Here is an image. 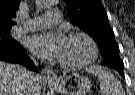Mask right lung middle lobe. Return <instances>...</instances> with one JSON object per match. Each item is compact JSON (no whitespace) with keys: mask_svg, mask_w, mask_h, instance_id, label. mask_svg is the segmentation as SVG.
Masks as SVG:
<instances>
[{"mask_svg":"<svg viewBox=\"0 0 135 95\" xmlns=\"http://www.w3.org/2000/svg\"><path fill=\"white\" fill-rule=\"evenodd\" d=\"M18 42L10 37V29L0 30V47H11Z\"/></svg>","mask_w":135,"mask_h":95,"instance_id":"1","label":"right lung middle lobe"}]
</instances>
